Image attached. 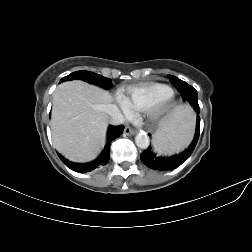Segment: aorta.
I'll return each mask as SVG.
<instances>
[{
  "label": "aorta",
  "instance_id": "obj_1",
  "mask_svg": "<svg viewBox=\"0 0 252 252\" xmlns=\"http://www.w3.org/2000/svg\"><path fill=\"white\" fill-rule=\"evenodd\" d=\"M135 142L141 149H146L149 146V138L145 133H138L135 137Z\"/></svg>",
  "mask_w": 252,
  "mask_h": 252
}]
</instances>
